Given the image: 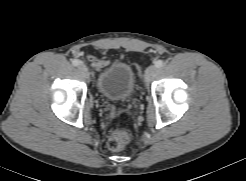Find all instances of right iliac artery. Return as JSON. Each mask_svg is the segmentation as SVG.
I'll list each match as a JSON object with an SVG mask.
<instances>
[{
	"mask_svg": "<svg viewBox=\"0 0 246 181\" xmlns=\"http://www.w3.org/2000/svg\"><path fill=\"white\" fill-rule=\"evenodd\" d=\"M72 64H73L74 66H78V65L81 64V61H80V60H77V59H74V60H72Z\"/></svg>",
	"mask_w": 246,
	"mask_h": 181,
	"instance_id": "82829eb1",
	"label": "right iliac artery"
}]
</instances>
